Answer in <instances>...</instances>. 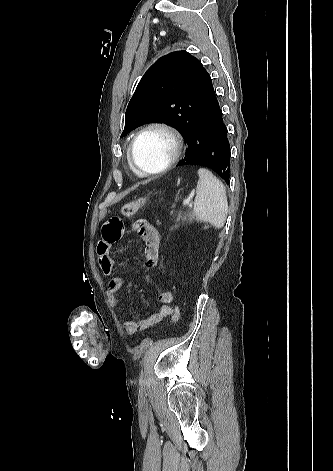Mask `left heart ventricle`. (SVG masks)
I'll return each instance as SVG.
<instances>
[{
    "label": "left heart ventricle",
    "mask_w": 333,
    "mask_h": 471,
    "mask_svg": "<svg viewBox=\"0 0 333 471\" xmlns=\"http://www.w3.org/2000/svg\"><path fill=\"white\" fill-rule=\"evenodd\" d=\"M172 152L173 142L170 136L161 130H150L137 141L134 157L143 169L157 170L168 161Z\"/></svg>",
    "instance_id": "left-heart-ventricle-1"
}]
</instances>
